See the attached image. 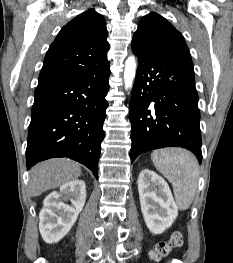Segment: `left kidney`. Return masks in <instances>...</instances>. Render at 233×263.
<instances>
[{
	"label": "left kidney",
	"mask_w": 233,
	"mask_h": 263,
	"mask_svg": "<svg viewBox=\"0 0 233 263\" xmlns=\"http://www.w3.org/2000/svg\"><path fill=\"white\" fill-rule=\"evenodd\" d=\"M138 192L148 229L153 234L163 233L178 215V207L167 182L154 171L144 169L138 177Z\"/></svg>",
	"instance_id": "left-kidney-1"
}]
</instances>
